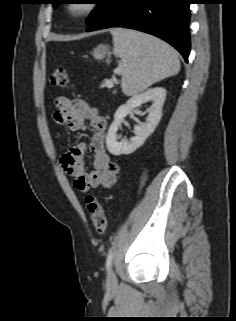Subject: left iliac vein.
I'll return each mask as SVG.
<instances>
[{
	"mask_svg": "<svg viewBox=\"0 0 236 321\" xmlns=\"http://www.w3.org/2000/svg\"><path fill=\"white\" fill-rule=\"evenodd\" d=\"M107 283L109 286H114L117 283V278L113 270L108 273Z\"/></svg>",
	"mask_w": 236,
	"mask_h": 321,
	"instance_id": "1",
	"label": "left iliac vein"
}]
</instances>
